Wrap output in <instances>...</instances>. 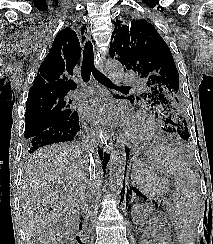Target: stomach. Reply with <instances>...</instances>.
Returning a JSON list of instances; mask_svg holds the SVG:
<instances>
[{
  "instance_id": "stomach-1",
  "label": "stomach",
  "mask_w": 213,
  "mask_h": 244,
  "mask_svg": "<svg viewBox=\"0 0 213 244\" xmlns=\"http://www.w3.org/2000/svg\"><path fill=\"white\" fill-rule=\"evenodd\" d=\"M157 159V149H136L131 160L132 182L138 191L151 200L160 199L170 184Z\"/></svg>"
}]
</instances>
